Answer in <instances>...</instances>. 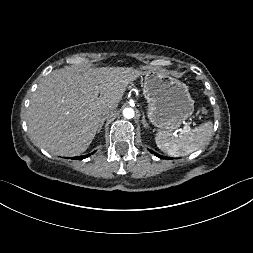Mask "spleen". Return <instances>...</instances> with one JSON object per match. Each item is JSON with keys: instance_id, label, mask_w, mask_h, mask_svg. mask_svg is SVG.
Returning a JSON list of instances; mask_svg holds the SVG:
<instances>
[{"instance_id": "obj_1", "label": "spleen", "mask_w": 253, "mask_h": 253, "mask_svg": "<svg viewBox=\"0 0 253 253\" xmlns=\"http://www.w3.org/2000/svg\"><path fill=\"white\" fill-rule=\"evenodd\" d=\"M213 130L211 121L203 123L193 130L180 133H170L169 131H159L155 141L158 148L172 157L188 155L210 141Z\"/></svg>"}]
</instances>
